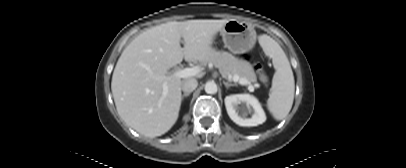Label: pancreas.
Returning <instances> with one entry per match:
<instances>
[{
    "label": "pancreas",
    "instance_id": "1",
    "mask_svg": "<svg viewBox=\"0 0 406 168\" xmlns=\"http://www.w3.org/2000/svg\"><path fill=\"white\" fill-rule=\"evenodd\" d=\"M208 62L218 68L225 78L238 75L240 78L246 79L249 84L257 81L252 66L248 62L239 60L228 52L214 51L209 58L203 60V63Z\"/></svg>",
    "mask_w": 406,
    "mask_h": 168
}]
</instances>
